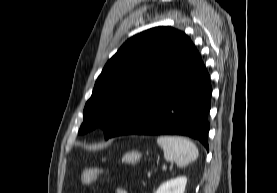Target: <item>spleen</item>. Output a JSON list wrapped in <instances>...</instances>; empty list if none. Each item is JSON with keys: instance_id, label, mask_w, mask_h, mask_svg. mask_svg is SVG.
I'll list each match as a JSON object with an SVG mask.
<instances>
[{"instance_id": "spleen-1", "label": "spleen", "mask_w": 277, "mask_h": 193, "mask_svg": "<svg viewBox=\"0 0 277 193\" xmlns=\"http://www.w3.org/2000/svg\"><path fill=\"white\" fill-rule=\"evenodd\" d=\"M157 143L162 147L164 158L184 167L198 158V149L189 139L180 136H159Z\"/></svg>"}]
</instances>
